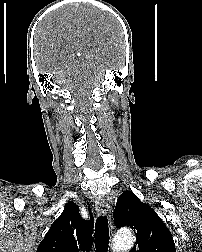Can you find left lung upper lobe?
Here are the masks:
<instances>
[{
	"instance_id": "5c2ea615",
	"label": "left lung upper lobe",
	"mask_w": 202,
	"mask_h": 252,
	"mask_svg": "<svg viewBox=\"0 0 202 252\" xmlns=\"http://www.w3.org/2000/svg\"><path fill=\"white\" fill-rule=\"evenodd\" d=\"M114 223L131 227L137 242L130 252H176L172 234L161 218L131 191H124L117 199Z\"/></svg>"
}]
</instances>
